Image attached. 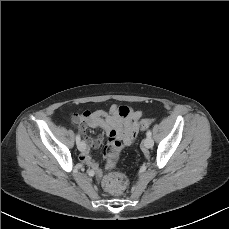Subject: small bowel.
<instances>
[{
	"instance_id": "1",
	"label": "small bowel",
	"mask_w": 229,
	"mask_h": 229,
	"mask_svg": "<svg viewBox=\"0 0 229 229\" xmlns=\"http://www.w3.org/2000/svg\"><path fill=\"white\" fill-rule=\"evenodd\" d=\"M140 117L139 111H134L127 106H112L109 111H83L71 116V122L77 127L84 137L85 147L81 151L80 160L86 162L99 175V164L93 160L89 151L99 145V140L86 136L88 129L100 128L106 135L111 131L117 133V139L108 143V148L104 152L106 168H113L117 160L116 155L122 150L123 145H131L134 134L131 132L133 126L136 127Z\"/></svg>"
}]
</instances>
